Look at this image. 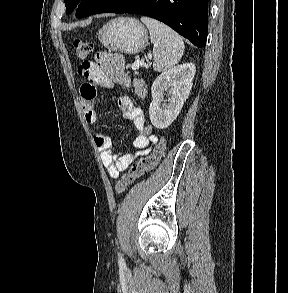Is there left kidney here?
I'll return each instance as SVG.
<instances>
[{"mask_svg": "<svg viewBox=\"0 0 288 293\" xmlns=\"http://www.w3.org/2000/svg\"><path fill=\"white\" fill-rule=\"evenodd\" d=\"M196 67L185 63L173 67L159 75L152 84V102L149 107L151 123L157 129H165L179 115L184 102L188 98ZM169 92L168 103L161 104L165 92Z\"/></svg>", "mask_w": 288, "mask_h": 293, "instance_id": "5707ae66", "label": "left kidney"}]
</instances>
